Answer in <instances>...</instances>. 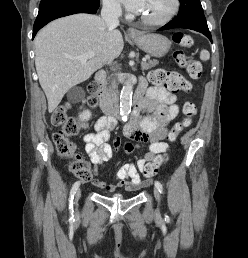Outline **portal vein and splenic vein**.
<instances>
[{"instance_id":"obj_1","label":"portal vein and splenic vein","mask_w":248,"mask_h":258,"mask_svg":"<svg viewBox=\"0 0 248 258\" xmlns=\"http://www.w3.org/2000/svg\"><path fill=\"white\" fill-rule=\"evenodd\" d=\"M94 56V54L92 53H86V54H83V55H79V56H68L69 59H72V60H78L82 63L86 62L89 58H92ZM147 61V58H143L142 59V62H146Z\"/></svg>"}]
</instances>
